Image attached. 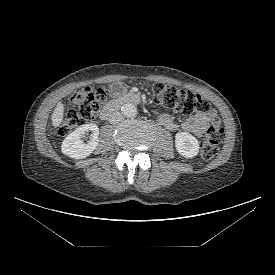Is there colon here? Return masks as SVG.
Here are the masks:
<instances>
[{
    "mask_svg": "<svg viewBox=\"0 0 275 275\" xmlns=\"http://www.w3.org/2000/svg\"><path fill=\"white\" fill-rule=\"evenodd\" d=\"M153 101L167 108L178 110L184 114L204 113L210 109L209 104L198 94L189 90L177 89L163 83H154L150 87ZM106 100L103 89L86 88L73 94L74 105L69 110L58 128V134L65 136L71 131L94 120ZM224 138V129L219 118L214 117L200 143V156L210 160L218 153L219 145Z\"/></svg>",
    "mask_w": 275,
    "mask_h": 275,
    "instance_id": "5ec220e1",
    "label": "colon"
}]
</instances>
